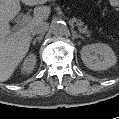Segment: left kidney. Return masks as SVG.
Segmentation results:
<instances>
[{"label": "left kidney", "mask_w": 119, "mask_h": 119, "mask_svg": "<svg viewBox=\"0 0 119 119\" xmlns=\"http://www.w3.org/2000/svg\"><path fill=\"white\" fill-rule=\"evenodd\" d=\"M80 54L85 66L95 71L106 70L114 66L117 61L111 47L103 43L83 46Z\"/></svg>", "instance_id": "1"}]
</instances>
